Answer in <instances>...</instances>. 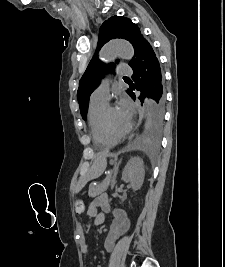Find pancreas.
I'll use <instances>...</instances> for the list:
<instances>
[{
	"mask_svg": "<svg viewBox=\"0 0 225 267\" xmlns=\"http://www.w3.org/2000/svg\"><path fill=\"white\" fill-rule=\"evenodd\" d=\"M110 184H111V186L113 184V177H111L110 175L107 176V178L104 181H102L100 184H97V185L91 184L89 186V191H88L89 197L94 198V197L102 194L103 192H105L108 189Z\"/></svg>",
	"mask_w": 225,
	"mask_h": 267,
	"instance_id": "1",
	"label": "pancreas"
}]
</instances>
